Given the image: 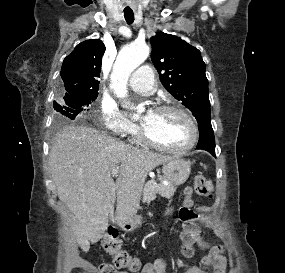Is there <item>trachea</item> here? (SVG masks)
<instances>
[{"mask_svg":"<svg viewBox=\"0 0 285 273\" xmlns=\"http://www.w3.org/2000/svg\"><path fill=\"white\" fill-rule=\"evenodd\" d=\"M124 17L127 23L132 24L134 21V13L133 12H124Z\"/></svg>","mask_w":285,"mask_h":273,"instance_id":"1","label":"trachea"}]
</instances>
